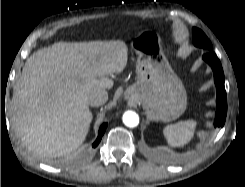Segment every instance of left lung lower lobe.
<instances>
[{
  "label": "left lung lower lobe",
  "mask_w": 245,
  "mask_h": 187,
  "mask_svg": "<svg viewBox=\"0 0 245 187\" xmlns=\"http://www.w3.org/2000/svg\"><path fill=\"white\" fill-rule=\"evenodd\" d=\"M203 59L211 66L214 72V81L217 89V110L215 114V127H222L227 115V97L224 86V73L217 55L209 51L203 55Z\"/></svg>",
  "instance_id": "0a47b994"
}]
</instances>
